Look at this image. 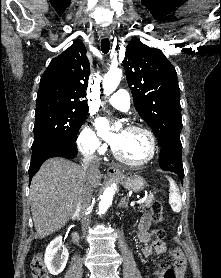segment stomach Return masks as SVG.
<instances>
[{"label": "stomach", "instance_id": "0dacf381", "mask_svg": "<svg viewBox=\"0 0 221 278\" xmlns=\"http://www.w3.org/2000/svg\"><path fill=\"white\" fill-rule=\"evenodd\" d=\"M117 179L121 182V184L125 189L133 192L142 191L146 184L144 178L139 175H133L130 177H126L122 175L119 176Z\"/></svg>", "mask_w": 221, "mask_h": 278}]
</instances>
